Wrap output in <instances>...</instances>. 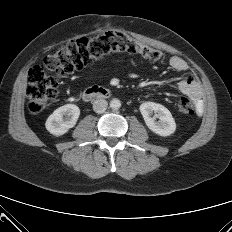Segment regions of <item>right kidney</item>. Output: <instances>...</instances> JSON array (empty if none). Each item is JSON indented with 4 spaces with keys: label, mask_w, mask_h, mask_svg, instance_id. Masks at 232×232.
Masks as SVG:
<instances>
[{
    "label": "right kidney",
    "mask_w": 232,
    "mask_h": 232,
    "mask_svg": "<svg viewBox=\"0 0 232 232\" xmlns=\"http://www.w3.org/2000/svg\"><path fill=\"white\" fill-rule=\"evenodd\" d=\"M79 115L80 109L75 104L63 105L48 117L46 129L55 136H61L76 125Z\"/></svg>",
    "instance_id": "1"
}]
</instances>
